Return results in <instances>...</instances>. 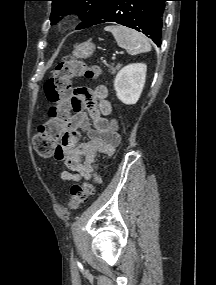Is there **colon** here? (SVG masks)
Masks as SVG:
<instances>
[{
	"instance_id": "5ec220e1",
	"label": "colon",
	"mask_w": 216,
	"mask_h": 285,
	"mask_svg": "<svg viewBox=\"0 0 216 285\" xmlns=\"http://www.w3.org/2000/svg\"><path fill=\"white\" fill-rule=\"evenodd\" d=\"M101 70L97 66H89L82 60H68L60 62L53 75L45 83V94L52 104L49 111V120L39 126L33 138L36 152L43 158L55 154L57 142L62 137L64 128L73 112L74 93L71 81L75 77L88 79L99 76ZM101 183L98 173L93 175L90 182L76 184L71 187L69 207L77 209L82 203L94 194L95 188Z\"/></svg>"
}]
</instances>
